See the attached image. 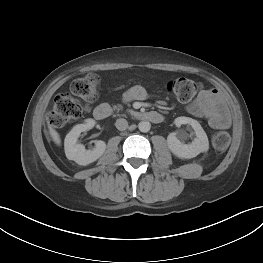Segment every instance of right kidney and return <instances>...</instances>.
<instances>
[{"label":"right kidney","mask_w":263,"mask_h":263,"mask_svg":"<svg viewBox=\"0 0 263 263\" xmlns=\"http://www.w3.org/2000/svg\"><path fill=\"white\" fill-rule=\"evenodd\" d=\"M95 123V120L87 119L86 123L75 125L66 135L64 149L69 160H74L77 164L86 166L103 155L106 149L104 141H97L93 150H86L84 145L77 144V139L81 132L93 128Z\"/></svg>","instance_id":"right-kidney-1"}]
</instances>
